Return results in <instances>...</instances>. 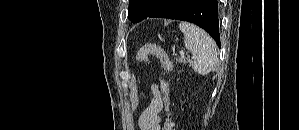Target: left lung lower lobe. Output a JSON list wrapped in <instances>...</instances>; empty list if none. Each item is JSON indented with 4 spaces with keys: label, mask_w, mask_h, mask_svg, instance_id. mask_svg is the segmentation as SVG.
<instances>
[{
    "label": "left lung lower lobe",
    "mask_w": 299,
    "mask_h": 130,
    "mask_svg": "<svg viewBox=\"0 0 299 130\" xmlns=\"http://www.w3.org/2000/svg\"><path fill=\"white\" fill-rule=\"evenodd\" d=\"M149 9L142 17H160L194 23L220 47L217 0H149ZM136 23V22H135Z\"/></svg>",
    "instance_id": "0a47b994"
}]
</instances>
